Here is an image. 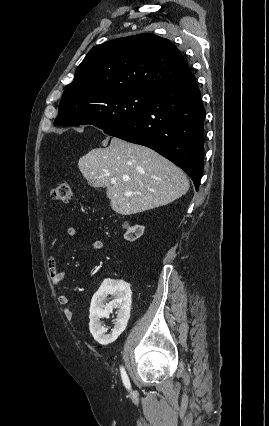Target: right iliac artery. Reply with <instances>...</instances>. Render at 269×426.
Listing matches in <instances>:
<instances>
[{"label":"right iliac artery","mask_w":269,"mask_h":426,"mask_svg":"<svg viewBox=\"0 0 269 426\" xmlns=\"http://www.w3.org/2000/svg\"><path fill=\"white\" fill-rule=\"evenodd\" d=\"M120 371H121L122 381H123L125 387L127 389H130L131 385H130V381H129V378H128L127 374H126L125 369L123 367H120Z\"/></svg>","instance_id":"right-iliac-artery-1"}]
</instances>
